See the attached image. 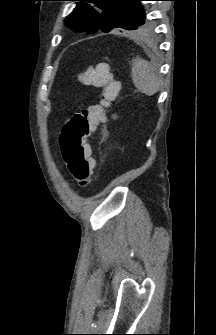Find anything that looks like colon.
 I'll use <instances>...</instances> for the list:
<instances>
[{"mask_svg":"<svg viewBox=\"0 0 216 335\" xmlns=\"http://www.w3.org/2000/svg\"><path fill=\"white\" fill-rule=\"evenodd\" d=\"M84 83L102 90L101 101L74 113L62 128L59 136L61 156L68 171L82 187L93 181L95 160L87 139L96 126L105 120L107 109L119 96L122 82L114 78L105 63L89 66L82 74Z\"/></svg>","mask_w":216,"mask_h":335,"instance_id":"5ec220e1","label":"colon"}]
</instances>
